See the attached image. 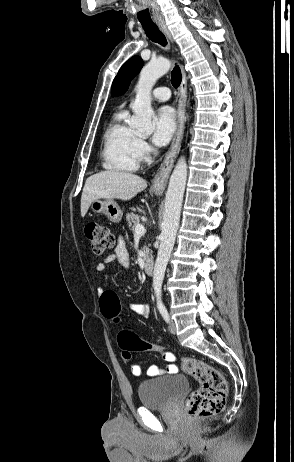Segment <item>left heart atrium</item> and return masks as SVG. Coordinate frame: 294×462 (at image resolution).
I'll return each mask as SVG.
<instances>
[{
  "label": "left heart atrium",
  "instance_id": "1",
  "mask_svg": "<svg viewBox=\"0 0 294 462\" xmlns=\"http://www.w3.org/2000/svg\"><path fill=\"white\" fill-rule=\"evenodd\" d=\"M176 129V116L173 108L161 107L154 118L153 141L158 146L166 145Z\"/></svg>",
  "mask_w": 294,
  "mask_h": 462
}]
</instances>
